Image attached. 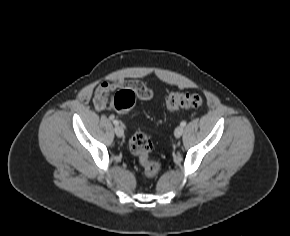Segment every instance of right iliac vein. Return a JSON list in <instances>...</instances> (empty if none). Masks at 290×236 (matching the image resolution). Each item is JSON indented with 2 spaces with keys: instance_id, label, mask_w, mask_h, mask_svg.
<instances>
[{
  "instance_id": "obj_1",
  "label": "right iliac vein",
  "mask_w": 290,
  "mask_h": 236,
  "mask_svg": "<svg viewBox=\"0 0 290 236\" xmlns=\"http://www.w3.org/2000/svg\"><path fill=\"white\" fill-rule=\"evenodd\" d=\"M115 134L118 136V137H123L124 136V129H123V126L121 125H117L115 127Z\"/></svg>"
}]
</instances>
